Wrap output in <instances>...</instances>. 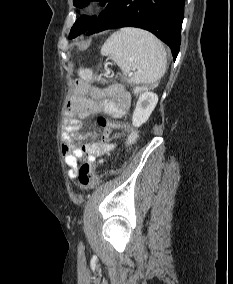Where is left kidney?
Segmentation results:
<instances>
[{
    "instance_id": "5707ae66",
    "label": "left kidney",
    "mask_w": 233,
    "mask_h": 284,
    "mask_svg": "<svg viewBox=\"0 0 233 284\" xmlns=\"http://www.w3.org/2000/svg\"><path fill=\"white\" fill-rule=\"evenodd\" d=\"M158 102V96L150 91H144L140 94L136 104V108L132 115V124L135 127H140L145 123Z\"/></svg>"
}]
</instances>
